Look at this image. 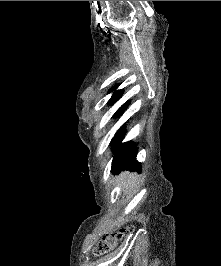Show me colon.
I'll list each match as a JSON object with an SVG mask.
<instances>
[{"instance_id": "obj_1", "label": "colon", "mask_w": 221, "mask_h": 266, "mask_svg": "<svg viewBox=\"0 0 221 266\" xmlns=\"http://www.w3.org/2000/svg\"><path fill=\"white\" fill-rule=\"evenodd\" d=\"M133 227H125L116 232L105 234L96 247L98 254H104L115 247L117 242L121 240L127 233L131 232Z\"/></svg>"}]
</instances>
